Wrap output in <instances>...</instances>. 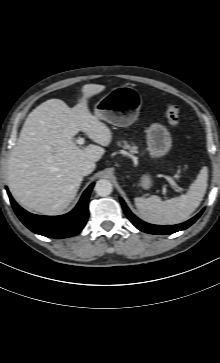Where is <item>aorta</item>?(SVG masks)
<instances>
[{"instance_id":"obj_1","label":"aorta","mask_w":220,"mask_h":363,"mask_svg":"<svg viewBox=\"0 0 220 363\" xmlns=\"http://www.w3.org/2000/svg\"><path fill=\"white\" fill-rule=\"evenodd\" d=\"M112 183L108 179H100L96 182L94 190L97 195L106 197L112 192Z\"/></svg>"}]
</instances>
